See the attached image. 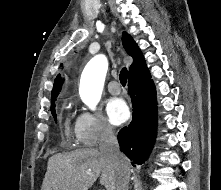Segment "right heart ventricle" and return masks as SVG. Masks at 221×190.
Wrapping results in <instances>:
<instances>
[{
	"instance_id": "1",
	"label": "right heart ventricle",
	"mask_w": 221,
	"mask_h": 190,
	"mask_svg": "<svg viewBox=\"0 0 221 190\" xmlns=\"http://www.w3.org/2000/svg\"><path fill=\"white\" fill-rule=\"evenodd\" d=\"M65 125H66V134L69 136L71 134V130L68 121H66Z\"/></svg>"
}]
</instances>
